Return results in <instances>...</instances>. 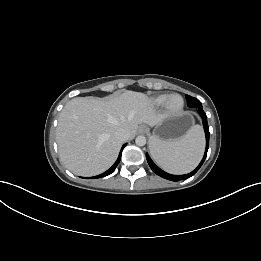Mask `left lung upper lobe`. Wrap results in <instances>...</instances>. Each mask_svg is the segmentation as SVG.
I'll list each match as a JSON object with an SVG mask.
<instances>
[{
	"instance_id": "obj_1",
	"label": "left lung upper lobe",
	"mask_w": 261,
	"mask_h": 261,
	"mask_svg": "<svg viewBox=\"0 0 261 261\" xmlns=\"http://www.w3.org/2000/svg\"><path fill=\"white\" fill-rule=\"evenodd\" d=\"M185 96H186V99H187V105L189 107H196V108L202 107L201 102L197 98H194V97L189 96V95H185Z\"/></svg>"
}]
</instances>
